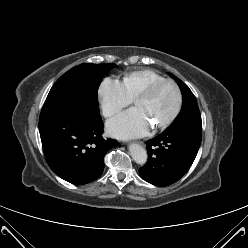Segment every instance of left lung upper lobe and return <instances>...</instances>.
<instances>
[{"instance_id": "obj_1", "label": "left lung upper lobe", "mask_w": 248, "mask_h": 248, "mask_svg": "<svg viewBox=\"0 0 248 248\" xmlns=\"http://www.w3.org/2000/svg\"><path fill=\"white\" fill-rule=\"evenodd\" d=\"M169 75L176 80L181 89L183 105L181 112L168 127V129H180L186 127L202 128L201 114L192 91L179 78L170 73Z\"/></svg>"}]
</instances>
